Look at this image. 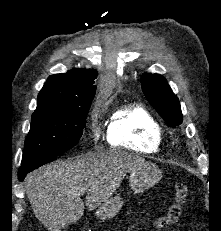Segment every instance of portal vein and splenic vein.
Instances as JSON below:
<instances>
[{
    "label": "portal vein and splenic vein",
    "instance_id": "portal-vein-and-splenic-vein-1",
    "mask_svg": "<svg viewBox=\"0 0 221 231\" xmlns=\"http://www.w3.org/2000/svg\"><path fill=\"white\" fill-rule=\"evenodd\" d=\"M87 188H83L81 191L84 192V190H86Z\"/></svg>",
    "mask_w": 221,
    "mask_h": 231
}]
</instances>
